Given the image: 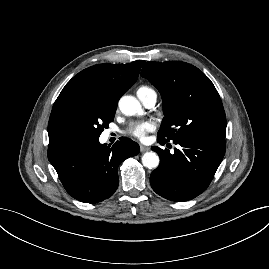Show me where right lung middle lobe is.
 <instances>
[{
	"label": "right lung middle lobe",
	"instance_id": "1",
	"mask_svg": "<svg viewBox=\"0 0 269 269\" xmlns=\"http://www.w3.org/2000/svg\"><path fill=\"white\" fill-rule=\"evenodd\" d=\"M115 108L99 101L71 100L64 117L75 141L99 139L104 128L114 120Z\"/></svg>",
	"mask_w": 269,
	"mask_h": 269
}]
</instances>
